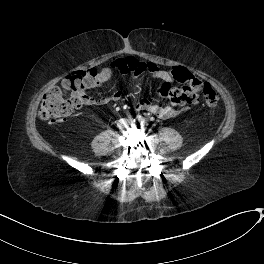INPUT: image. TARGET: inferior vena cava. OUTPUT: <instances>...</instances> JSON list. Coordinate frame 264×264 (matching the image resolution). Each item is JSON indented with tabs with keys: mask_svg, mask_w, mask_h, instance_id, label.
Wrapping results in <instances>:
<instances>
[{
	"mask_svg": "<svg viewBox=\"0 0 264 264\" xmlns=\"http://www.w3.org/2000/svg\"><path fill=\"white\" fill-rule=\"evenodd\" d=\"M129 123H130V122H129L128 119L121 118L120 120H118L117 126H118L119 128H124V127L128 126Z\"/></svg>",
	"mask_w": 264,
	"mask_h": 264,
	"instance_id": "obj_1",
	"label": "inferior vena cava"
}]
</instances>
